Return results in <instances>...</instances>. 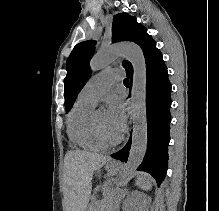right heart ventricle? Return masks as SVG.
<instances>
[{
    "label": "right heart ventricle",
    "mask_w": 219,
    "mask_h": 211,
    "mask_svg": "<svg viewBox=\"0 0 219 211\" xmlns=\"http://www.w3.org/2000/svg\"><path fill=\"white\" fill-rule=\"evenodd\" d=\"M95 104L77 98L73 104L67 118V132L69 138L75 144L84 149L97 151L107 147L96 133L93 123L92 114Z\"/></svg>",
    "instance_id": "e07e8e85"
}]
</instances>
